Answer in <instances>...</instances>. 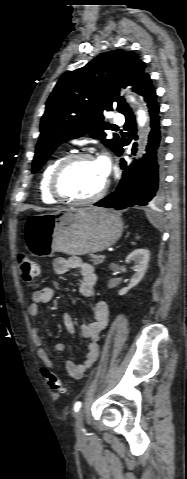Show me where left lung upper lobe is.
I'll return each instance as SVG.
<instances>
[{"label":"left lung upper lobe","mask_w":187,"mask_h":479,"mask_svg":"<svg viewBox=\"0 0 187 479\" xmlns=\"http://www.w3.org/2000/svg\"><path fill=\"white\" fill-rule=\"evenodd\" d=\"M145 67L134 52L113 50L64 74L46 103L32 172L36 173L61 143L87 132L117 154L121 140L116 134L105 139L109 127L103 111L116 107L123 114L129 108L118 89L132 87L139 93L143 80L149 77Z\"/></svg>","instance_id":"5c2ea615"}]
</instances>
